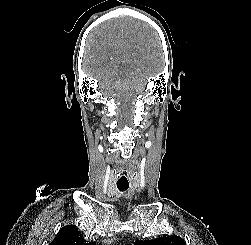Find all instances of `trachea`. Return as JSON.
I'll use <instances>...</instances> for the list:
<instances>
[{"mask_svg": "<svg viewBox=\"0 0 251 245\" xmlns=\"http://www.w3.org/2000/svg\"><path fill=\"white\" fill-rule=\"evenodd\" d=\"M117 188L120 191H125L129 188V183L128 182H117Z\"/></svg>", "mask_w": 251, "mask_h": 245, "instance_id": "1", "label": "trachea"}]
</instances>
